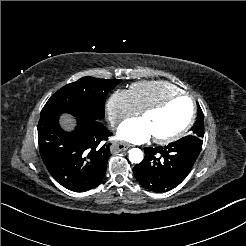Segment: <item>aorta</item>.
I'll use <instances>...</instances> for the list:
<instances>
[{
  "instance_id": "762f6f07",
  "label": "aorta",
  "mask_w": 246,
  "mask_h": 246,
  "mask_svg": "<svg viewBox=\"0 0 246 246\" xmlns=\"http://www.w3.org/2000/svg\"><path fill=\"white\" fill-rule=\"evenodd\" d=\"M143 160V152L139 148L129 150V161L132 163H140Z\"/></svg>"
}]
</instances>
